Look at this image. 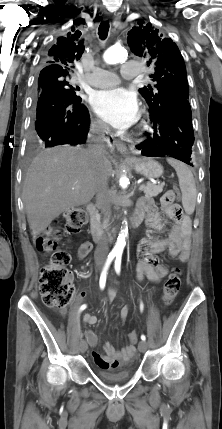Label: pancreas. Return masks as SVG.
Masks as SVG:
<instances>
[{
  "label": "pancreas",
  "mask_w": 222,
  "mask_h": 429,
  "mask_svg": "<svg viewBox=\"0 0 222 429\" xmlns=\"http://www.w3.org/2000/svg\"><path fill=\"white\" fill-rule=\"evenodd\" d=\"M143 191L146 196L155 197L163 191V185L162 184L155 185V184L147 183Z\"/></svg>",
  "instance_id": "pancreas-1"
}]
</instances>
